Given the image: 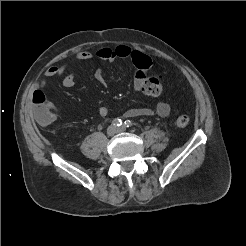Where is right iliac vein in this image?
<instances>
[{
    "label": "right iliac vein",
    "instance_id": "1",
    "mask_svg": "<svg viewBox=\"0 0 246 246\" xmlns=\"http://www.w3.org/2000/svg\"><path fill=\"white\" fill-rule=\"evenodd\" d=\"M116 133H117V128H116V127H114V126L108 127V129H107V134H108L109 136H113V135H115Z\"/></svg>",
    "mask_w": 246,
    "mask_h": 246
}]
</instances>
